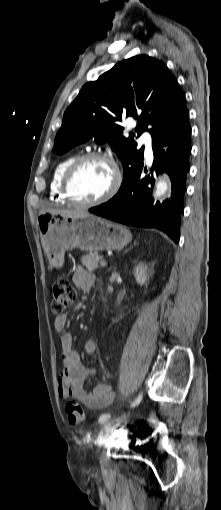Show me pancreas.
<instances>
[{
    "label": "pancreas",
    "instance_id": "obj_1",
    "mask_svg": "<svg viewBox=\"0 0 221 510\" xmlns=\"http://www.w3.org/2000/svg\"><path fill=\"white\" fill-rule=\"evenodd\" d=\"M98 253L97 252H91L89 254H86L84 256H82L81 258V262H82V265H84L86 267V269H88L89 271H93V270H96L97 268H99V264H98Z\"/></svg>",
    "mask_w": 221,
    "mask_h": 510
}]
</instances>
